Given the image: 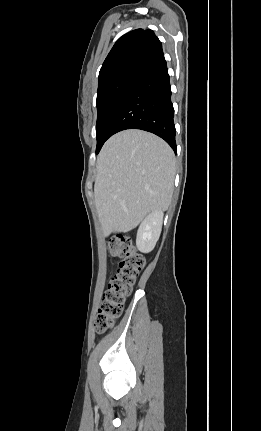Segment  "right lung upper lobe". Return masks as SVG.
<instances>
[{
	"label": "right lung upper lobe",
	"instance_id": "obj_1",
	"mask_svg": "<svg viewBox=\"0 0 261 431\" xmlns=\"http://www.w3.org/2000/svg\"><path fill=\"white\" fill-rule=\"evenodd\" d=\"M163 55L162 44L152 30L136 29L120 37L106 57L99 83L143 67Z\"/></svg>",
	"mask_w": 261,
	"mask_h": 431
}]
</instances>
